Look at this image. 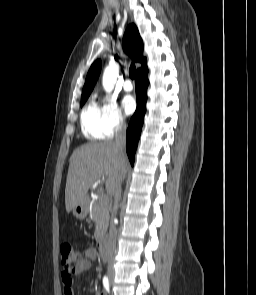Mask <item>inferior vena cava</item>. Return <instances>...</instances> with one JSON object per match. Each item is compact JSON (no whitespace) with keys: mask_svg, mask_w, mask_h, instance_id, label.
Returning <instances> with one entry per match:
<instances>
[{"mask_svg":"<svg viewBox=\"0 0 256 295\" xmlns=\"http://www.w3.org/2000/svg\"><path fill=\"white\" fill-rule=\"evenodd\" d=\"M126 124L124 120L121 118L119 124L116 126V134H115V145L119 150L121 164V171L118 172V177H125L126 167H130L129 159H125V148H126ZM111 196H113V206L110 208L111 220H110V228H109V238L107 243V259H108V271H113V260L114 254L116 252V238L117 231L114 223V218L118 209V202L121 197V180L118 179L112 190Z\"/></svg>","mask_w":256,"mask_h":295,"instance_id":"obj_1","label":"inferior vena cava"}]
</instances>
